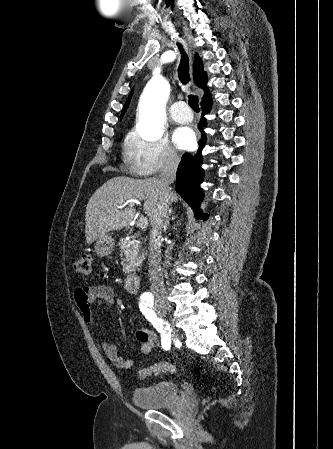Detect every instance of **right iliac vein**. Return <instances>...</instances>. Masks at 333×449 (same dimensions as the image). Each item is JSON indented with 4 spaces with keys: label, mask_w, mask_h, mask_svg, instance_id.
Wrapping results in <instances>:
<instances>
[{
    "label": "right iliac vein",
    "mask_w": 333,
    "mask_h": 449,
    "mask_svg": "<svg viewBox=\"0 0 333 449\" xmlns=\"http://www.w3.org/2000/svg\"><path fill=\"white\" fill-rule=\"evenodd\" d=\"M160 310L162 311L163 314H169L170 311H171V308H170V306H169L168 304L162 303V304L160 305ZM173 336H174V337H178L177 332H174V333H173Z\"/></svg>",
    "instance_id": "1"
}]
</instances>
